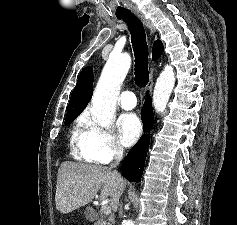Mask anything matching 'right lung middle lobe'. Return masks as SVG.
Segmentation results:
<instances>
[{
	"mask_svg": "<svg viewBox=\"0 0 237 225\" xmlns=\"http://www.w3.org/2000/svg\"><path fill=\"white\" fill-rule=\"evenodd\" d=\"M79 114L80 113H76V114L66 116L65 124L68 125V124L72 123L74 121V119H76Z\"/></svg>",
	"mask_w": 237,
	"mask_h": 225,
	"instance_id": "dd1d6c3e",
	"label": "right lung middle lobe"
}]
</instances>
